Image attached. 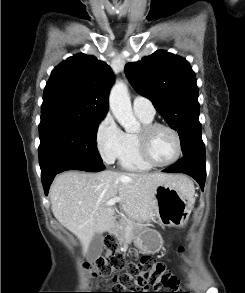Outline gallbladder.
<instances>
[{"label":"gallbladder","instance_id":"gallbladder-1","mask_svg":"<svg viewBox=\"0 0 245 293\" xmlns=\"http://www.w3.org/2000/svg\"><path fill=\"white\" fill-rule=\"evenodd\" d=\"M103 248V235L101 233H95L90 241L87 253H86V259L89 262H94L97 260L101 253Z\"/></svg>","mask_w":245,"mask_h":293}]
</instances>
